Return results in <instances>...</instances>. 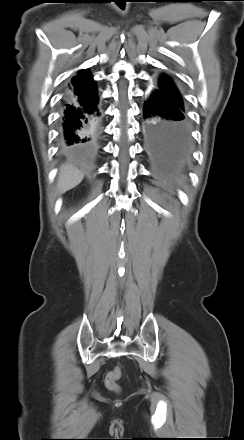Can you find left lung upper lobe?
I'll return each mask as SVG.
<instances>
[{
	"instance_id": "obj_1",
	"label": "left lung upper lobe",
	"mask_w": 244,
	"mask_h": 440,
	"mask_svg": "<svg viewBox=\"0 0 244 440\" xmlns=\"http://www.w3.org/2000/svg\"><path fill=\"white\" fill-rule=\"evenodd\" d=\"M158 87L168 96L176 99L178 102L183 104L180 92L170 77H168L167 75H161L158 80Z\"/></svg>"
}]
</instances>
